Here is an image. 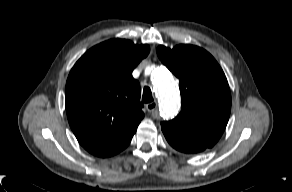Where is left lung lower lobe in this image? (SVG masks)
Wrapping results in <instances>:
<instances>
[{
	"label": "left lung lower lobe",
	"mask_w": 292,
	"mask_h": 192,
	"mask_svg": "<svg viewBox=\"0 0 292 192\" xmlns=\"http://www.w3.org/2000/svg\"><path fill=\"white\" fill-rule=\"evenodd\" d=\"M165 138L167 139L168 143L175 148L176 150L180 151V152H184V153H198V152H202L205 149H207L204 146H200V145H195V144H191L188 142H185L183 140L174 138L170 135L164 134Z\"/></svg>",
	"instance_id": "obj_1"
}]
</instances>
